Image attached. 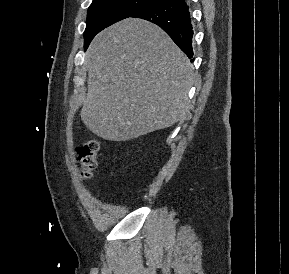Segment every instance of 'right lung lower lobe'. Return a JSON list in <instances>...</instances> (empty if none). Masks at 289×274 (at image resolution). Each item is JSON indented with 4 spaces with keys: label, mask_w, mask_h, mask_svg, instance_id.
Masks as SVG:
<instances>
[{
    "label": "right lung lower lobe",
    "mask_w": 289,
    "mask_h": 274,
    "mask_svg": "<svg viewBox=\"0 0 289 274\" xmlns=\"http://www.w3.org/2000/svg\"><path fill=\"white\" fill-rule=\"evenodd\" d=\"M131 17L142 18L160 26L192 58V24L185 0H163Z\"/></svg>",
    "instance_id": "1"
}]
</instances>
